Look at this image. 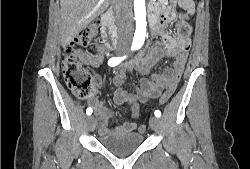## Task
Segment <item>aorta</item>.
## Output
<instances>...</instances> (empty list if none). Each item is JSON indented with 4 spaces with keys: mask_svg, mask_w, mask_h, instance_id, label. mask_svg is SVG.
I'll return each mask as SVG.
<instances>
[{
    "mask_svg": "<svg viewBox=\"0 0 250 169\" xmlns=\"http://www.w3.org/2000/svg\"><path fill=\"white\" fill-rule=\"evenodd\" d=\"M134 12L136 20L134 38H137L139 42H144L147 26L145 0H134Z\"/></svg>",
    "mask_w": 250,
    "mask_h": 169,
    "instance_id": "1",
    "label": "aorta"
}]
</instances>
